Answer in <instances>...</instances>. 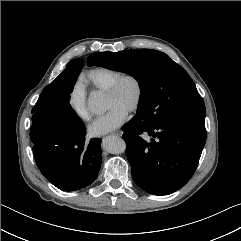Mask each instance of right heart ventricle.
I'll use <instances>...</instances> for the list:
<instances>
[{"mask_svg":"<svg viewBox=\"0 0 241 241\" xmlns=\"http://www.w3.org/2000/svg\"><path fill=\"white\" fill-rule=\"evenodd\" d=\"M122 73L114 68L97 66L83 73V79L93 91L105 92Z\"/></svg>","mask_w":241,"mask_h":241,"instance_id":"1","label":"right heart ventricle"}]
</instances>
